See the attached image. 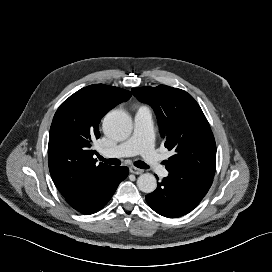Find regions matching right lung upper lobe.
I'll return each instance as SVG.
<instances>
[{
	"label": "right lung upper lobe",
	"instance_id": "1",
	"mask_svg": "<svg viewBox=\"0 0 272 272\" xmlns=\"http://www.w3.org/2000/svg\"><path fill=\"white\" fill-rule=\"evenodd\" d=\"M131 95L118 87L94 84L75 92L58 108L49 133L48 160L52 180L65 199L114 170L96 163L92 144L100 137L101 118Z\"/></svg>",
	"mask_w": 272,
	"mask_h": 272
}]
</instances>
